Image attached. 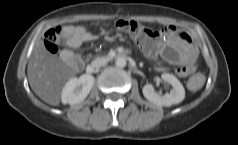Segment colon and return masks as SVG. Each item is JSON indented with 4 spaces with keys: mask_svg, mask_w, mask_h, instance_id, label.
Segmentation results:
<instances>
[{
    "mask_svg": "<svg viewBox=\"0 0 238 145\" xmlns=\"http://www.w3.org/2000/svg\"><path fill=\"white\" fill-rule=\"evenodd\" d=\"M114 27L121 32L131 35L138 45L149 55L156 56L159 52L161 41L164 37L163 30L144 26L132 20H117ZM60 28H52L45 34L44 44L47 51L57 54L60 45ZM205 78L201 73L193 75L189 79V87L197 90L204 84Z\"/></svg>",
    "mask_w": 238,
    "mask_h": 145,
    "instance_id": "1",
    "label": "colon"
}]
</instances>
